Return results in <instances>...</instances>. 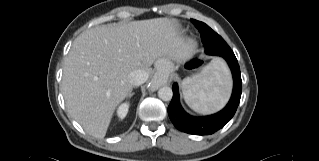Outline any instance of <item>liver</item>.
<instances>
[{
  "instance_id": "1",
  "label": "liver",
  "mask_w": 319,
  "mask_h": 161,
  "mask_svg": "<svg viewBox=\"0 0 319 161\" xmlns=\"http://www.w3.org/2000/svg\"><path fill=\"white\" fill-rule=\"evenodd\" d=\"M190 46L174 19L101 25L81 33L64 61L62 93L68 113L90 135L102 138L116 107L132 89L129 74L150 75L159 58H177Z\"/></svg>"
}]
</instances>
